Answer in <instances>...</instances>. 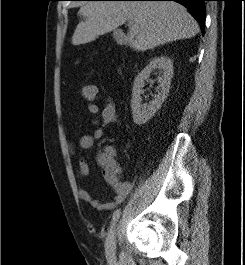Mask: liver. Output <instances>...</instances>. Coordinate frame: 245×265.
Instances as JSON below:
<instances>
[{
    "label": "liver",
    "mask_w": 245,
    "mask_h": 265,
    "mask_svg": "<svg viewBox=\"0 0 245 265\" xmlns=\"http://www.w3.org/2000/svg\"><path fill=\"white\" fill-rule=\"evenodd\" d=\"M83 17L72 36L73 45L90 43L126 21V40L136 51L194 37L198 23L187 9L173 1H89L78 12Z\"/></svg>",
    "instance_id": "1"
}]
</instances>
